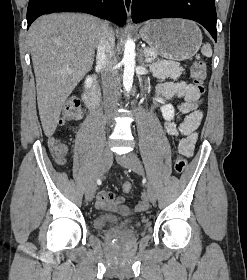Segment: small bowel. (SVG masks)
I'll use <instances>...</instances> for the list:
<instances>
[{
    "label": "small bowel",
    "instance_id": "obj_1",
    "mask_svg": "<svg viewBox=\"0 0 247 280\" xmlns=\"http://www.w3.org/2000/svg\"><path fill=\"white\" fill-rule=\"evenodd\" d=\"M158 93L167 99L175 96L184 99V103L180 106V111L185 114L183 122L179 125L169 122L165 124V128L171 136H184L179 143V151L185 156H191L197 141L196 129L202 119V113L196 109V102L200 96L199 90L195 85L186 82L164 83L158 87ZM96 206L100 210L130 215L144 211L148 207V200L143 193L139 203L131 209L124 205L122 197H117L112 192L100 191Z\"/></svg>",
    "mask_w": 247,
    "mask_h": 280
}]
</instances>
